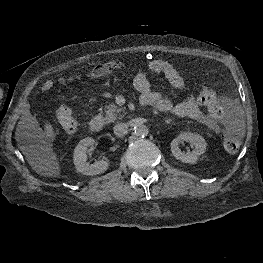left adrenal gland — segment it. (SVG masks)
<instances>
[{
	"instance_id": "1",
	"label": "left adrenal gland",
	"mask_w": 263,
	"mask_h": 263,
	"mask_svg": "<svg viewBox=\"0 0 263 263\" xmlns=\"http://www.w3.org/2000/svg\"><path fill=\"white\" fill-rule=\"evenodd\" d=\"M165 122H166V123H169V121H168V120H166Z\"/></svg>"
}]
</instances>
